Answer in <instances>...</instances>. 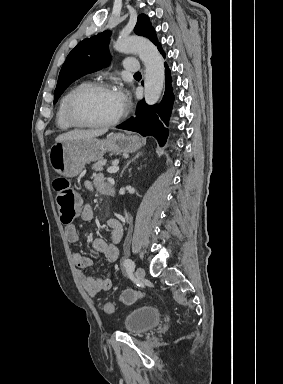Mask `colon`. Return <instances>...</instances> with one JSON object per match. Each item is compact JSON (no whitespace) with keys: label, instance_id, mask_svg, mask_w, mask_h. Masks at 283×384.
<instances>
[{"label":"colon","instance_id":"1","mask_svg":"<svg viewBox=\"0 0 283 384\" xmlns=\"http://www.w3.org/2000/svg\"><path fill=\"white\" fill-rule=\"evenodd\" d=\"M53 187L56 192L60 218L64 223H71L79 212V199L77 194L65 178L55 179ZM143 297H145V294L141 291L126 290L121 294L120 300L125 304H131ZM103 309L106 313H113L114 305L111 302H107L104 304Z\"/></svg>","mask_w":283,"mask_h":384}]
</instances>
